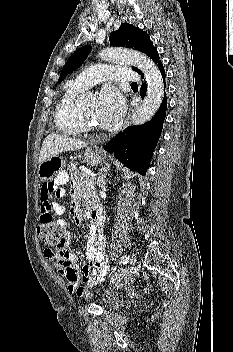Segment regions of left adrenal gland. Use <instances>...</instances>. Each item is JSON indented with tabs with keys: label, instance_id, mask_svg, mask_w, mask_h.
Returning a JSON list of instances; mask_svg holds the SVG:
<instances>
[{
	"label": "left adrenal gland",
	"instance_id": "1",
	"mask_svg": "<svg viewBox=\"0 0 233 352\" xmlns=\"http://www.w3.org/2000/svg\"><path fill=\"white\" fill-rule=\"evenodd\" d=\"M106 177H107V173H105L104 175H102V176L98 179V184H99L100 187H103V185H105L106 182L108 181V180L106 179Z\"/></svg>",
	"mask_w": 233,
	"mask_h": 352
}]
</instances>
